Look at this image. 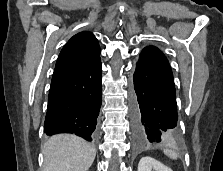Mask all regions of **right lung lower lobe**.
Here are the masks:
<instances>
[{"instance_id": "obj_1", "label": "right lung lower lobe", "mask_w": 223, "mask_h": 171, "mask_svg": "<svg viewBox=\"0 0 223 171\" xmlns=\"http://www.w3.org/2000/svg\"><path fill=\"white\" fill-rule=\"evenodd\" d=\"M101 103L100 60L82 71L52 80L44 133H74L94 141Z\"/></svg>"}]
</instances>
